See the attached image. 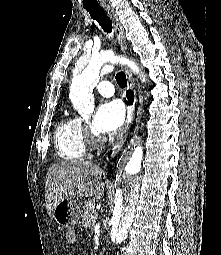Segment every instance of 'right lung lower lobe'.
<instances>
[{"mask_svg": "<svg viewBox=\"0 0 221 255\" xmlns=\"http://www.w3.org/2000/svg\"><path fill=\"white\" fill-rule=\"evenodd\" d=\"M127 98L130 100H133V92L131 90L127 91L126 93ZM132 103V101L130 102V104ZM111 153V152H110Z\"/></svg>", "mask_w": 221, "mask_h": 255, "instance_id": "obj_1", "label": "right lung lower lobe"}]
</instances>
